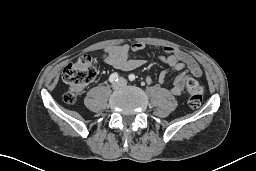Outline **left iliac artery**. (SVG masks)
<instances>
[{
    "label": "left iliac artery",
    "mask_w": 256,
    "mask_h": 171,
    "mask_svg": "<svg viewBox=\"0 0 256 171\" xmlns=\"http://www.w3.org/2000/svg\"><path fill=\"white\" fill-rule=\"evenodd\" d=\"M128 78H129L130 81H134L135 80V75L134 74H130L128 76Z\"/></svg>",
    "instance_id": "left-iliac-artery-1"
}]
</instances>
